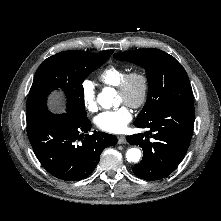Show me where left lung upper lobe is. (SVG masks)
Returning a JSON list of instances; mask_svg holds the SVG:
<instances>
[{
	"instance_id": "5c2ea615",
	"label": "left lung upper lobe",
	"mask_w": 221,
	"mask_h": 221,
	"mask_svg": "<svg viewBox=\"0 0 221 221\" xmlns=\"http://www.w3.org/2000/svg\"><path fill=\"white\" fill-rule=\"evenodd\" d=\"M121 61L133 62L146 70L148 97L135 123H142L163 108L194 104L189 78L182 65L159 49H138L114 54Z\"/></svg>"
}]
</instances>
